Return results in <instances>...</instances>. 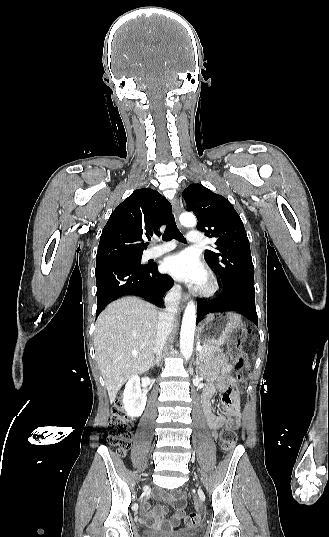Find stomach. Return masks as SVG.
<instances>
[{"mask_svg":"<svg viewBox=\"0 0 329 537\" xmlns=\"http://www.w3.org/2000/svg\"><path fill=\"white\" fill-rule=\"evenodd\" d=\"M244 324L238 314L231 312L213 313L207 316L199 328V337L206 345L221 346L232 333L243 331Z\"/></svg>","mask_w":329,"mask_h":537,"instance_id":"0dacf381","label":"stomach"}]
</instances>
